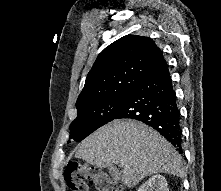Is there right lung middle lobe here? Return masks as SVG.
Listing matches in <instances>:
<instances>
[{
    "label": "right lung middle lobe",
    "instance_id": "obj_1",
    "mask_svg": "<svg viewBox=\"0 0 221 191\" xmlns=\"http://www.w3.org/2000/svg\"><path fill=\"white\" fill-rule=\"evenodd\" d=\"M130 91L77 110V118L70 124V138L82 141L99 127L114 120ZM70 140L68 141V143Z\"/></svg>",
    "mask_w": 221,
    "mask_h": 191
}]
</instances>
